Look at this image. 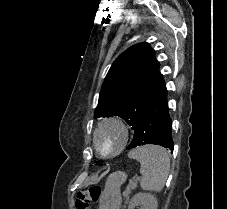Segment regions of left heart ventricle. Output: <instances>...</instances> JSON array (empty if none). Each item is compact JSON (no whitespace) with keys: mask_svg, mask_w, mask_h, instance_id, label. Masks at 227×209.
<instances>
[{"mask_svg":"<svg viewBox=\"0 0 227 209\" xmlns=\"http://www.w3.org/2000/svg\"><path fill=\"white\" fill-rule=\"evenodd\" d=\"M122 139L120 129L114 124L104 125L96 135V144L102 153L116 149Z\"/></svg>","mask_w":227,"mask_h":209,"instance_id":"b2bd125f","label":"left heart ventricle"}]
</instances>
